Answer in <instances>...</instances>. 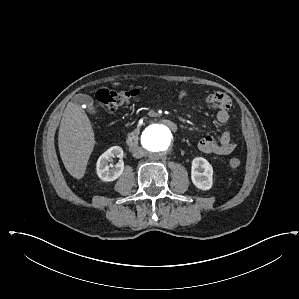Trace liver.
<instances>
[{"mask_svg": "<svg viewBox=\"0 0 299 299\" xmlns=\"http://www.w3.org/2000/svg\"><path fill=\"white\" fill-rule=\"evenodd\" d=\"M94 146L95 134L87 114L80 106L69 102L59 127L58 147L71 176L83 178Z\"/></svg>", "mask_w": 299, "mask_h": 299, "instance_id": "1", "label": "liver"}]
</instances>
